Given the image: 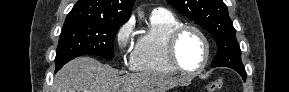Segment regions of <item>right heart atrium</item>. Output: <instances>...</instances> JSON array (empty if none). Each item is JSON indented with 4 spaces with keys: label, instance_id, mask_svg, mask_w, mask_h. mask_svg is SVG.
Instances as JSON below:
<instances>
[{
    "label": "right heart atrium",
    "instance_id": "right-heart-atrium-1",
    "mask_svg": "<svg viewBox=\"0 0 289 92\" xmlns=\"http://www.w3.org/2000/svg\"><path fill=\"white\" fill-rule=\"evenodd\" d=\"M133 31V20H128L118 29L116 33V42L122 51H128L130 49Z\"/></svg>",
    "mask_w": 289,
    "mask_h": 92
}]
</instances>
